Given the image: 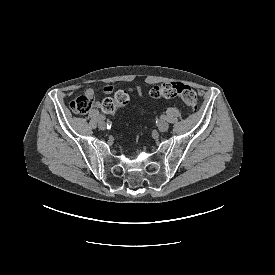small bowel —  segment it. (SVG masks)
<instances>
[{
	"mask_svg": "<svg viewBox=\"0 0 275 275\" xmlns=\"http://www.w3.org/2000/svg\"><path fill=\"white\" fill-rule=\"evenodd\" d=\"M113 90H114V86L112 84H107L103 88V92L105 94H110V93L113 92ZM126 91L136 93L141 98L146 97V95L144 94L141 86H139V85L127 87ZM85 94L87 96L93 97L94 91H93V89L89 88L85 91ZM94 104H95V107H97V108L101 107V103L99 101H95Z\"/></svg>",
	"mask_w": 275,
	"mask_h": 275,
	"instance_id": "obj_1",
	"label": "small bowel"
}]
</instances>
